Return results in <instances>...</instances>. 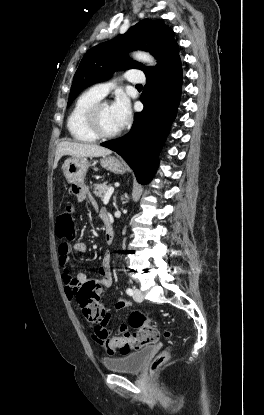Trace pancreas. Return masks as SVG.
<instances>
[{"instance_id": "pancreas-1", "label": "pancreas", "mask_w": 264, "mask_h": 415, "mask_svg": "<svg viewBox=\"0 0 264 415\" xmlns=\"http://www.w3.org/2000/svg\"><path fill=\"white\" fill-rule=\"evenodd\" d=\"M109 185L107 183H103V184H95L94 185V191L93 193L99 197L100 199H103L107 190L109 189Z\"/></svg>"}]
</instances>
